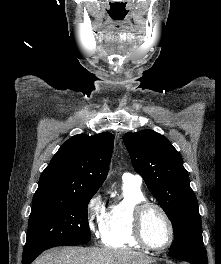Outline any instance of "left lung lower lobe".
Listing matches in <instances>:
<instances>
[{"label":"left lung lower lobe","mask_w":221,"mask_h":264,"mask_svg":"<svg viewBox=\"0 0 221 264\" xmlns=\"http://www.w3.org/2000/svg\"><path fill=\"white\" fill-rule=\"evenodd\" d=\"M169 255L191 264H208L207 253L204 247H187L171 250Z\"/></svg>","instance_id":"left-lung-lower-lobe-1"}]
</instances>
